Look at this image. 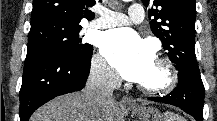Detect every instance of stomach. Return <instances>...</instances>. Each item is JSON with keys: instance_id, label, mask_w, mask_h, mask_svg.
Instances as JSON below:
<instances>
[{"instance_id": "stomach-1", "label": "stomach", "mask_w": 217, "mask_h": 121, "mask_svg": "<svg viewBox=\"0 0 217 121\" xmlns=\"http://www.w3.org/2000/svg\"><path fill=\"white\" fill-rule=\"evenodd\" d=\"M127 110H130L139 121H165L163 115L157 109L145 104L129 107Z\"/></svg>"}]
</instances>
